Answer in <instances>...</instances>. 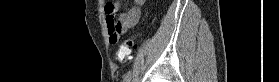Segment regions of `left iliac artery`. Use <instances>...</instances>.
<instances>
[{
  "instance_id": "left-iliac-artery-1",
  "label": "left iliac artery",
  "mask_w": 279,
  "mask_h": 82,
  "mask_svg": "<svg viewBox=\"0 0 279 82\" xmlns=\"http://www.w3.org/2000/svg\"><path fill=\"white\" fill-rule=\"evenodd\" d=\"M132 77V72L128 71L123 79V82H130Z\"/></svg>"
}]
</instances>
